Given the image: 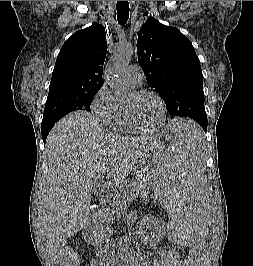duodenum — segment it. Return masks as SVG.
<instances>
[{"label":"duodenum","instance_id":"duodenum-1","mask_svg":"<svg viewBox=\"0 0 253 266\" xmlns=\"http://www.w3.org/2000/svg\"><path fill=\"white\" fill-rule=\"evenodd\" d=\"M93 234H94V228L90 226L86 231V237L89 240H93ZM98 261H103L104 266H115L114 259H112L111 257H104L103 259L98 260Z\"/></svg>","mask_w":253,"mask_h":266}]
</instances>
